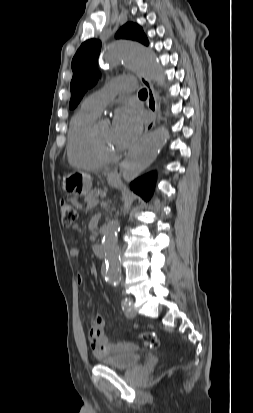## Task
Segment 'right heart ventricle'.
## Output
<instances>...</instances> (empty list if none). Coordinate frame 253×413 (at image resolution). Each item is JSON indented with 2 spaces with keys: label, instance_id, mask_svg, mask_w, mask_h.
Returning <instances> with one entry per match:
<instances>
[{
  "label": "right heart ventricle",
  "instance_id": "e07e8e85",
  "mask_svg": "<svg viewBox=\"0 0 253 413\" xmlns=\"http://www.w3.org/2000/svg\"><path fill=\"white\" fill-rule=\"evenodd\" d=\"M98 114L83 106L71 119L67 140V157L70 164L84 169H96L103 165L90 143V131Z\"/></svg>",
  "mask_w": 253,
  "mask_h": 413
}]
</instances>
